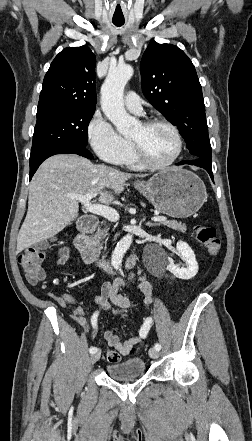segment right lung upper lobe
I'll return each instance as SVG.
<instances>
[{
    "mask_svg": "<svg viewBox=\"0 0 252 441\" xmlns=\"http://www.w3.org/2000/svg\"><path fill=\"white\" fill-rule=\"evenodd\" d=\"M95 63L96 57L87 46L63 49L45 75L38 108L95 109Z\"/></svg>",
    "mask_w": 252,
    "mask_h": 441,
    "instance_id": "obj_1",
    "label": "right lung upper lobe"
}]
</instances>
